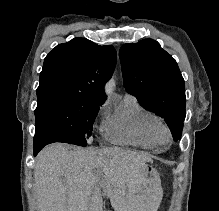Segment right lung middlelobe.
Listing matches in <instances>:
<instances>
[{
  "instance_id": "obj_1",
  "label": "right lung middle lobe",
  "mask_w": 219,
  "mask_h": 211,
  "mask_svg": "<svg viewBox=\"0 0 219 211\" xmlns=\"http://www.w3.org/2000/svg\"><path fill=\"white\" fill-rule=\"evenodd\" d=\"M103 102L64 93L37 95L35 137L53 135L88 146L93 123Z\"/></svg>"
}]
</instances>
